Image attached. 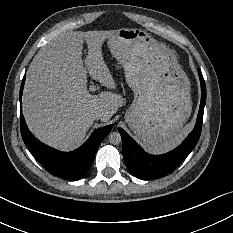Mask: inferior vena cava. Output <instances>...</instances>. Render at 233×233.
<instances>
[{"mask_svg": "<svg viewBox=\"0 0 233 233\" xmlns=\"http://www.w3.org/2000/svg\"><path fill=\"white\" fill-rule=\"evenodd\" d=\"M90 117L92 120H99L102 117V113L99 111H96L92 113Z\"/></svg>", "mask_w": 233, "mask_h": 233, "instance_id": "1", "label": "inferior vena cava"}]
</instances>
